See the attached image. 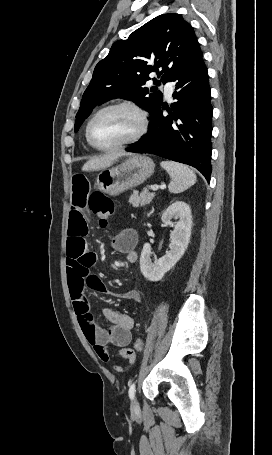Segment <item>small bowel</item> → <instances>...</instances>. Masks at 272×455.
Listing matches in <instances>:
<instances>
[{
	"mask_svg": "<svg viewBox=\"0 0 272 455\" xmlns=\"http://www.w3.org/2000/svg\"><path fill=\"white\" fill-rule=\"evenodd\" d=\"M90 180L84 173H76L72 177V203L69 214L67 236V276L73 300V306L83 334L103 362L110 360V347L117 349L118 354L128 361L126 367L116 366L117 372H124L135 362V352L128 348L132 340L131 330L133 318L123 312L111 308L103 310L104 317L111 323L108 329L102 328L95 320L91 310L87 289L107 291L101 280L92 275L90 270L97 260V255L86 242L88 224L86 218L87 202L90 195ZM138 236L134 229H123L111 240L113 249L126 256L129 263L138 259L136 246ZM120 298L135 302L141 301L140 292L129 289L120 294Z\"/></svg>",
	"mask_w": 272,
	"mask_h": 455,
	"instance_id": "c3829d8e",
	"label": "small bowel"
}]
</instances>
